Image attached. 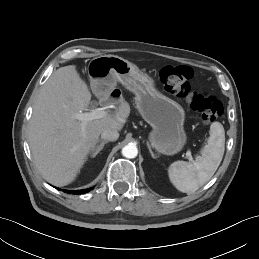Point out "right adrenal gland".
Segmentation results:
<instances>
[{
    "label": "right adrenal gland",
    "mask_w": 259,
    "mask_h": 259,
    "mask_svg": "<svg viewBox=\"0 0 259 259\" xmlns=\"http://www.w3.org/2000/svg\"><path fill=\"white\" fill-rule=\"evenodd\" d=\"M108 141H102L100 142L99 145L95 146L93 149H92V153H91V157L94 158L96 157V155L103 149L104 145L107 144Z\"/></svg>",
    "instance_id": "2a0ac1e0"
}]
</instances>
